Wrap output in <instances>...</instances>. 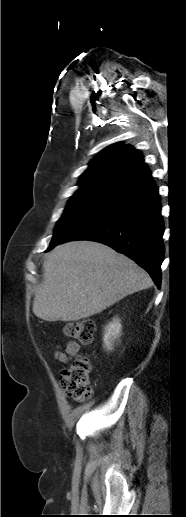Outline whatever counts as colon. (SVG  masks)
<instances>
[{"mask_svg":"<svg viewBox=\"0 0 186 517\" xmlns=\"http://www.w3.org/2000/svg\"><path fill=\"white\" fill-rule=\"evenodd\" d=\"M64 334L89 345L94 341L96 323L90 319H79L67 322L64 325ZM91 362L86 356H76L60 373V385L66 396L73 401L83 402L92 393Z\"/></svg>","mask_w":186,"mask_h":517,"instance_id":"5ec220e1","label":"colon"}]
</instances>
